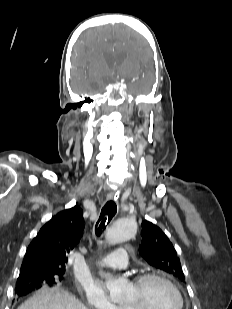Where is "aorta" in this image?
<instances>
[{
	"label": "aorta",
	"mask_w": 232,
	"mask_h": 309,
	"mask_svg": "<svg viewBox=\"0 0 232 309\" xmlns=\"http://www.w3.org/2000/svg\"><path fill=\"white\" fill-rule=\"evenodd\" d=\"M136 233L134 221L121 218L112 223L106 233V242L109 245H116L132 238ZM109 290L110 298L114 302H119L125 298L128 289V282L123 278L107 277L105 281Z\"/></svg>",
	"instance_id": "aorta-1"
}]
</instances>
